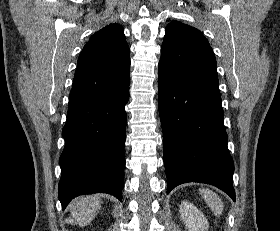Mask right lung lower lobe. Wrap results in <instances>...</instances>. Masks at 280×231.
<instances>
[{
    "label": "right lung lower lobe",
    "mask_w": 280,
    "mask_h": 231,
    "mask_svg": "<svg viewBox=\"0 0 280 231\" xmlns=\"http://www.w3.org/2000/svg\"><path fill=\"white\" fill-rule=\"evenodd\" d=\"M129 86L123 90L68 106L62 134L58 192L63 210L76 196L108 193L122 201L124 143Z\"/></svg>",
    "instance_id": "1"
}]
</instances>
